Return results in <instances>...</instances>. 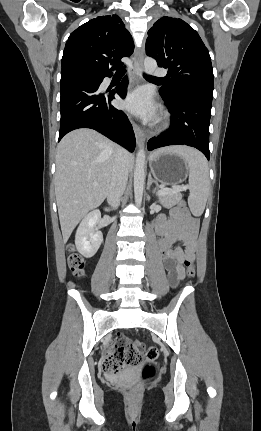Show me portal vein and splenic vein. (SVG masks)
<instances>
[{
	"mask_svg": "<svg viewBox=\"0 0 261 431\" xmlns=\"http://www.w3.org/2000/svg\"><path fill=\"white\" fill-rule=\"evenodd\" d=\"M94 186H97V183H93ZM182 188L181 187H174L173 189L167 188V187H163L160 191L159 194H164V193H169V192H176V191H180Z\"/></svg>",
	"mask_w": 261,
	"mask_h": 431,
	"instance_id": "1",
	"label": "portal vein and splenic vein"
}]
</instances>
